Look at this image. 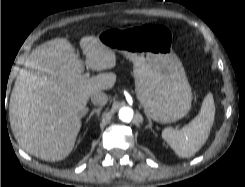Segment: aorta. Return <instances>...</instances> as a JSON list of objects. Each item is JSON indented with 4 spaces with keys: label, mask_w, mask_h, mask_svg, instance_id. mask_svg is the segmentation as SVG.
<instances>
[{
    "label": "aorta",
    "mask_w": 245,
    "mask_h": 187,
    "mask_svg": "<svg viewBox=\"0 0 245 187\" xmlns=\"http://www.w3.org/2000/svg\"><path fill=\"white\" fill-rule=\"evenodd\" d=\"M133 110L129 107H123L119 111V119L123 122H130L133 119Z\"/></svg>",
    "instance_id": "aorta-1"
}]
</instances>
